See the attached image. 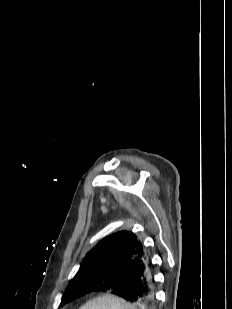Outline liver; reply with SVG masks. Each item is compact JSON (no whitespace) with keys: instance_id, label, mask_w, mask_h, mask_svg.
Returning <instances> with one entry per match:
<instances>
[{"instance_id":"liver-1","label":"liver","mask_w":232,"mask_h":309,"mask_svg":"<svg viewBox=\"0 0 232 309\" xmlns=\"http://www.w3.org/2000/svg\"><path fill=\"white\" fill-rule=\"evenodd\" d=\"M79 309H138L136 305L126 302L114 295L106 294L88 301Z\"/></svg>"}]
</instances>
